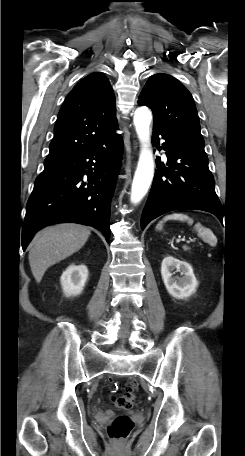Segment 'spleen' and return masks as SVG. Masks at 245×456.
I'll list each match as a JSON object with an SVG mask.
<instances>
[{
  "mask_svg": "<svg viewBox=\"0 0 245 456\" xmlns=\"http://www.w3.org/2000/svg\"><path fill=\"white\" fill-rule=\"evenodd\" d=\"M167 220L187 221L190 225L193 223V220L188 215L183 214V213H173V214L166 215L162 219V221H160L157 224L156 229L161 230L163 227V223ZM194 228L198 232V235L200 237H202V239L204 241L208 242L211 245L216 244L217 239L210 229L203 227L200 223H197Z\"/></svg>",
  "mask_w": 245,
  "mask_h": 456,
  "instance_id": "1",
  "label": "spleen"
}]
</instances>
